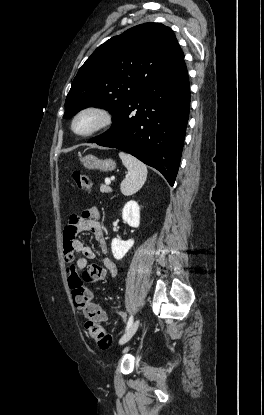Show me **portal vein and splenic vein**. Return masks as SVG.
Returning a JSON list of instances; mask_svg holds the SVG:
<instances>
[{
  "label": "portal vein and splenic vein",
  "instance_id": "obj_1",
  "mask_svg": "<svg viewBox=\"0 0 264 415\" xmlns=\"http://www.w3.org/2000/svg\"><path fill=\"white\" fill-rule=\"evenodd\" d=\"M105 183H106V184H110V183H111V180H110V179H106V180H105Z\"/></svg>",
  "mask_w": 264,
  "mask_h": 415
}]
</instances>
